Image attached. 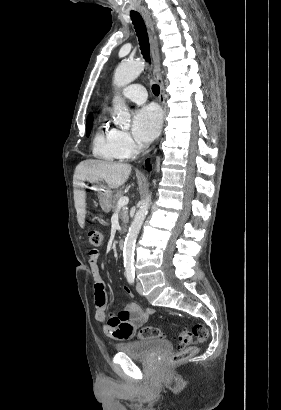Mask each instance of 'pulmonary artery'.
Instances as JSON below:
<instances>
[{
    "instance_id": "obj_1",
    "label": "pulmonary artery",
    "mask_w": 281,
    "mask_h": 410,
    "mask_svg": "<svg viewBox=\"0 0 281 410\" xmlns=\"http://www.w3.org/2000/svg\"><path fill=\"white\" fill-rule=\"evenodd\" d=\"M122 95L125 99L142 104L147 99L146 89L140 84H131L124 88Z\"/></svg>"
}]
</instances>
